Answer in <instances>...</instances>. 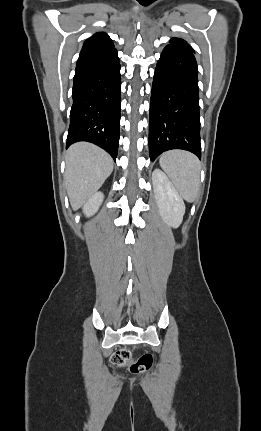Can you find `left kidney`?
<instances>
[{"label":"left kidney","instance_id":"1","mask_svg":"<svg viewBox=\"0 0 261 431\" xmlns=\"http://www.w3.org/2000/svg\"><path fill=\"white\" fill-rule=\"evenodd\" d=\"M152 180L160 215L169 226L179 227L185 213L183 199L161 170L155 169L153 171Z\"/></svg>","mask_w":261,"mask_h":431}]
</instances>
